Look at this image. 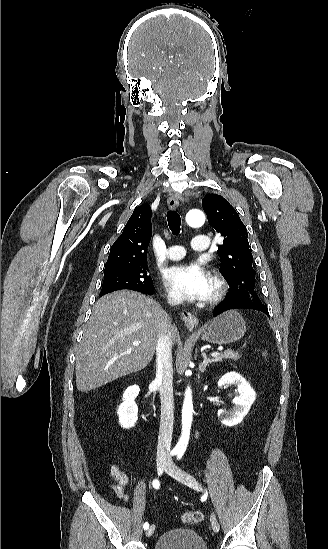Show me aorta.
<instances>
[{
	"instance_id": "aorta-1",
	"label": "aorta",
	"mask_w": 328,
	"mask_h": 549,
	"mask_svg": "<svg viewBox=\"0 0 328 549\" xmlns=\"http://www.w3.org/2000/svg\"><path fill=\"white\" fill-rule=\"evenodd\" d=\"M187 224L190 227H200L205 222L204 213L197 209H192L186 214L185 218ZM193 415V401L192 391L190 387H187L184 394V402L182 408V433L181 437L175 447L177 451L184 452L187 448L190 436V429L192 425Z\"/></svg>"
}]
</instances>
